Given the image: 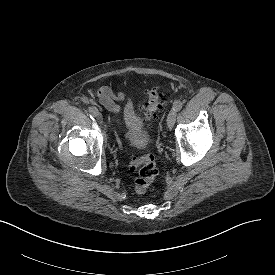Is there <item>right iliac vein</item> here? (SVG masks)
<instances>
[{"label": "right iliac vein", "instance_id": "63e3f726", "mask_svg": "<svg viewBox=\"0 0 275 275\" xmlns=\"http://www.w3.org/2000/svg\"><path fill=\"white\" fill-rule=\"evenodd\" d=\"M94 117L96 118V120L98 122H102V115L98 110H97L96 114L94 115Z\"/></svg>", "mask_w": 275, "mask_h": 275}]
</instances>
